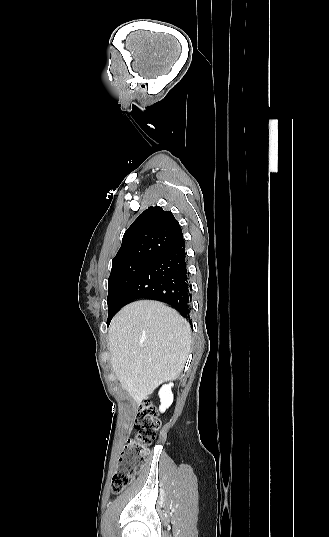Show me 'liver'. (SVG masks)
Instances as JSON below:
<instances>
[{
	"mask_svg": "<svg viewBox=\"0 0 329 537\" xmlns=\"http://www.w3.org/2000/svg\"><path fill=\"white\" fill-rule=\"evenodd\" d=\"M190 346L189 323L176 310L156 301L126 305L109 326L112 368L137 403L180 375Z\"/></svg>",
	"mask_w": 329,
	"mask_h": 537,
	"instance_id": "liver-1",
	"label": "liver"
}]
</instances>
